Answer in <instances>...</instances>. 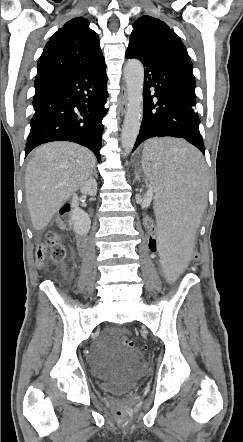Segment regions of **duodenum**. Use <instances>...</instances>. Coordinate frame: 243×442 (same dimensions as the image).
Here are the masks:
<instances>
[{
    "label": "duodenum",
    "instance_id": "duodenum-1",
    "mask_svg": "<svg viewBox=\"0 0 243 442\" xmlns=\"http://www.w3.org/2000/svg\"><path fill=\"white\" fill-rule=\"evenodd\" d=\"M78 241H79V246L81 249H84L85 245H86V240L84 236H79L78 237Z\"/></svg>",
    "mask_w": 243,
    "mask_h": 442
}]
</instances>
